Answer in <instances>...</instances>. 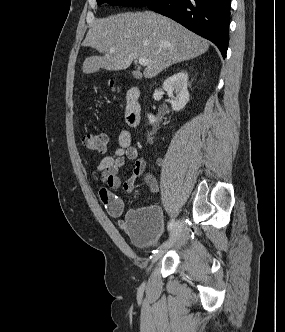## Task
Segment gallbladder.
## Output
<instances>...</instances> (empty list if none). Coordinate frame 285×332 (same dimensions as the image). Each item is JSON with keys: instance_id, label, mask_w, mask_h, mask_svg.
I'll return each instance as SVG.
<instances>
[{"instance_id": "gallbladder-1", "label": "gallbladder", "mask_w": 285, "mask_h": 332, "mask_svg": "<svg viewBox=\"0 0 285 332\" xmlns=\"http://www.w3.org/2000/svg\"><path fill=\"white\" fill-rule=\"evenodd\" d=\"M132 75L136 78L139 79L141 77V73H139L138 71H133Z\"/></svg>"}]
</instances>
